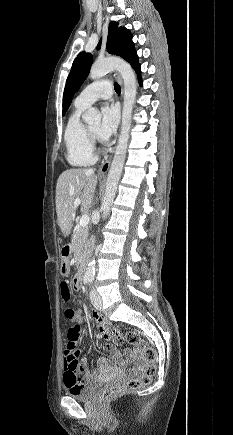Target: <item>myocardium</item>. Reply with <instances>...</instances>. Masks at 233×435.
Listing matches in <instances>:
<instances>
[{
  "mask_svg": "<svg viewBox=\"0 0 233 435\" xmlns=\"http://www.w3.org/2000/svg\"><path fill=\"white\" fill-rule=\"evenodd\" d=\"M86 132H87V135H88L89 139L91 140V142L94 141V140L96 139L97 134H95V133H94V132L89 128V126H86Z\"/></svg>",
  "mask_w": 233,
  "mask_h": 435,
  "instance_id": "f54148a6",
  "label": "myocardium"
}]
</instances>
